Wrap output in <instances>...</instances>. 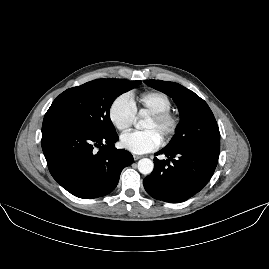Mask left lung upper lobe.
Wrapping results in <instances>:
<instances>
[{"label": "left lung upper lobe", "mask_w": 269, "mask_h": 269, "mask_svg": "<svg viewBox=\"0 0 269 269\" xmlns=\"http://www.w3.org/2000/svg\"><path fill=\"white\" fill-rule=\"evenodd\" d=\"M145 84L170 96L180 112L170 148H206L220 152V134L207 103L191 90L169 81L145 80Z\"/></svg>", "instance_id": "1"}]
</instances>
